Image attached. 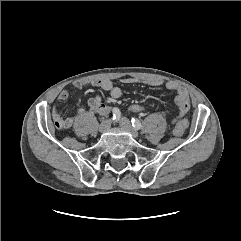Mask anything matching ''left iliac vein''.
<instances>
[{"label":"left iliac vein","mask_w":241,"mask_h":241,"mask_svg":"<svg viewBox=\"0 0 241 241\" xmlns=\"http://www.w3.org/2000/svg\"><path fill=\"white\" fill-rule=\"evenodd\" d=\"M119 125L125 129L126 131H128L134 138H138L139 137V133L137 132V130L135 128L132 127L130 121L127 118H121L119 120Z\"/></svg>","instance_id":"1"}]
</instances>
